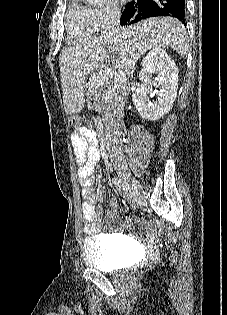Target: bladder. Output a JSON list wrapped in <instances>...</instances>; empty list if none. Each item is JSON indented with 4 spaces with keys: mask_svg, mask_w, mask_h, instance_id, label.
<instances>
[{
    "mask_svg": "<svg viewBox=\"0 0 227 315\" xmlns=\"http://www.w3.org/2000/svg\"><path fill=\"white\" fill-rule=\"evenodd\" d=\"M130 245V242L117 235L86 237L82 245L84 263L101 271L123 268Z\"/></svg>",
    "mask_w": 227,
    "mask_h": 315,
    "instance_id": "1",
    "label": "bladder"
}]
</instances>
